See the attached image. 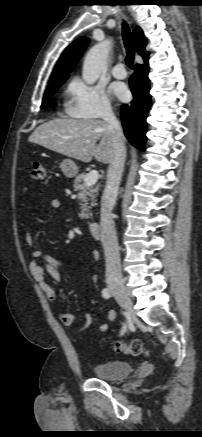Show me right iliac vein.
Here are the masks:
<instances>
[{
    "label": "right iliac vein",
    "mask_w": 202,
    "mask_h": 437,
    "mask_svg": "<svg viewBox=\"0 0 202 437\" xmlns=\"http://www.w3.org/2000/svg\"><path fill=\"white\" fill-rule=\"evenodd\" d=\"M109 289L111 290L112 294L116 297L118 303L129 313V315L133 316V307H132V301L125 290V288L122 285L115 284V283H109Z\"/></svg>",
    "instance_id": "63e3f726"
}]
</instances>
